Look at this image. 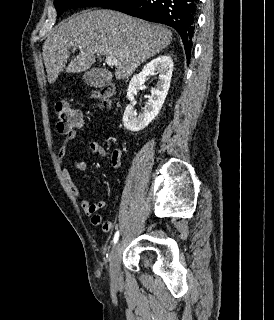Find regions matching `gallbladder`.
<instances>
[{
	"label": "gallbladder",
	"instance_id": "obj_1",
	"mask_svg": "<svg viewBox=\"0 0 274 320\" xmlns=\"http://www.w3.org/2000/svg\"><path fill=\"white\" fill-rule=\"evenodd\" d=\"M111 79H116V72H106L105 68H88L82 76L88 86L108 85Z\"/></svg>",
	"mask_w": 274,
	"mask_h": 320
}]
</instances>
